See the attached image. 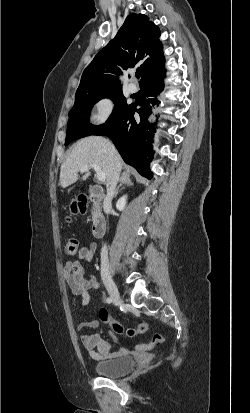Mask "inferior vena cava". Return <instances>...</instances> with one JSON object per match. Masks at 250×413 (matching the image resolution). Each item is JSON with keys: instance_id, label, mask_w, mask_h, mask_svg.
<instances>
[{"instance_id": "inferior-vena-cava-1", "label": "inferior vena cava", "mask_w": 250, "mask_h": 413, "mask_svg": "<svg viewBox=\"0 0 250 413\" xmlns=\"http://www.w3.org/2000/svg\"><path fill=\"white\" fill-rule=\"evenodd\" d=\"M112 154L116 159L117 151H116L114 146L112 148ZM118 178H119V166H118V163L116 162L114 173H113V178H112L110 184L107 185V194H106V198L104 200V208L106 206L111 205V201H112V198H113L114 193H115V188H116V184L118 182ZM101 266H102V268H108V253H107L106 245H104L102 247V250H101Z\"/></svg>"}]
</instances>
